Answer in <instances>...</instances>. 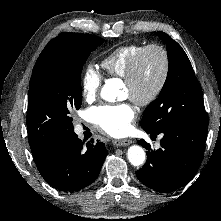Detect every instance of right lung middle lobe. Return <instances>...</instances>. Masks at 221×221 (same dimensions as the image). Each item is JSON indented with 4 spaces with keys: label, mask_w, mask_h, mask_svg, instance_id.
Segmentation results:
<instances>
[{
    "label": "right lung middle lobe",
    "mask_w": 221,
    "mask_h": 221,
    "mask_svg": "<svg viewBox=\"0 0 221 221\" xmlns=\"http://www.w3.org/2000/svg\"><path fill=\"white\" fill-rule=\"evenodd\" d=\"M104 41L94 35L72 33L52 39L41 52L30 79L27 111V129L37 140L74 132L70 112L82 104V68L88 55Z\"/></svg>",
    "instance_id": "1"
}]
</instances>
